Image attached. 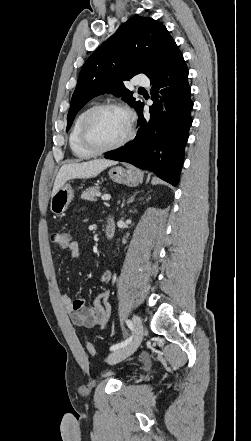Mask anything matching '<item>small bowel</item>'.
Returning <instances> with one entry per match:
<instances>
[{
  "label": "small bowel",
  "instance_id": "c3829d8e",
  "mask_svg": "<svg viewBox=\"0 0 251 441\" xmlns=\"http://www.w3.org/2000/svg\"><path fill=\"white\" fill-rule=\"evenodd\" d=\"M67 249L69 250L71 258L77 259L80 257V246L78 242H70ZM111 279L112 273L109 270H105L100 276L102 283H109ZM108 299L109 291L103 290L95 297L93 306L89 307L81 298L72 299L67 294L60 296L61 304L68 312L71 322L75 326L84 328H105L107 326L111 313Z\"/></svg>",
  "mask_w": 251,
  "mask_h": 441
}]
</instances>
